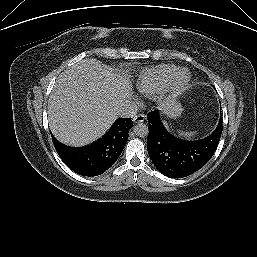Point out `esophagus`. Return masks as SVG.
<instances>
[{
  "label": "esophagus",
  "mask_w": 257,
  "mask_h": 257,
  "mask_svg": "<svg viewBox=\"0 0 257 257\" xmlns=\"http://www.w3.org/2000/svg\"><path fill=\"white\" fill-rule=\"evenodd\" d=\"M145 120V115L144 114H138V115H135L134 118H133V121L135 123H141V122H144Z\"/></svg>",
  "instance_id": "obj_1"
}]
</instances>
